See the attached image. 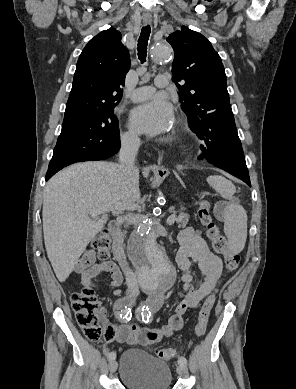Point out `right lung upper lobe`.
Returning <instances> with one entry per match:
<instances>
[{
  "label": "right lung upper lobe",
  "instance_id": "cb5924a9",
  "mask_svg": "<svg viewBox=\"0 0 296 389\" xmlns=\"http://www.w3.org/2000/svg\"><path fill=\"white\" fill-rule=\"evenodd\" d=\"M121 38L119 31L110 28L85 46L77 62L64 118L114 107L121 100L130 68L129 53Z\"/></svg>",
  "mask_w": 296,
  "mask_h": 389
}]
</instances>
